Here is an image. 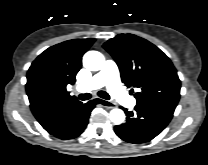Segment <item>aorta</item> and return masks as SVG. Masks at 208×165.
Instances as JSON below:
<instances>
[{"mask_svg": "<svg viewBox=\"0 0 208 165\" xmlns=\"http://www.w3.org/2000/svg\"><path fill=\"white\" fill-rule=\"evenodd\" d=\"M105 62V58L102 53L98 51H88L83 56V65L85 68L91 71H98L102 69ZM110 120L114 124H121L125 120L124 112L119 108H114L110 111Z\"/></svg>", "mask_w": 208, "mask_h": 165, "instance_id": "1", "label": "aorta"}]
</instances>
